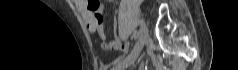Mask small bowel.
Masks as SVG:
<instances>
[{"label": "small bowel", "instance_id": "c3829d8e", "mask_svg": "<svg viewBox=\"0 0 238 70\" xmlns=\"http://www.w3.org/2000/svg\"><path fill=\"white\" fill-rule=\"evenodd\" d=\"M76 0L77 9L89 32L95 33L101 40V47L105 50H126L127 46L123 45L119 37L116 35L114 40L107 42L106 34L103 26L102 5L99 1ZM116 28V19H114Z\"/></svg>", "mask_w": 238, "mask_h": 70}]
</instances>
